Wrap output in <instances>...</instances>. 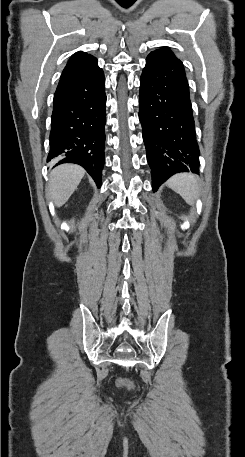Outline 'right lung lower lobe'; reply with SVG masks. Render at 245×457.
Here are the masks:
<instances>
[{"mask_svg": "<svg viewBox=\"0 0 245 457\" xmlns=\"http://www.w3.org/2000/svg\"><path fill=\"white\" fill-rule=\"evenodd\" d=\"M101 68L60 79L54 95L47 162L81 165L101 185L106 122Z\"/></svg>", "mask_w": 245, "mask_h": 457, "instance_id": "98d812e1", "label": "right lung lower lobe"}]
</instances>
